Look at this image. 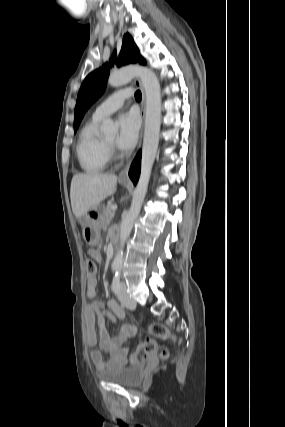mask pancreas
Listing matches in <instances>:
<instances>
[{
    "label": "pancreas",
    "instance_id": "pancreas-1",
    "mask_svg": "<svg viewBox=\"0 0 285 427\" xmlns=\"http://www.w3.org/2000/svg\"><path fill=\"white\" fill-rule=\"evenodd\" d=\"M112 206H113V204H111V203L107 204V207L105 208V210L103 212V216L101 219V227L103 229H105L109 225L111 219L114 217L115 213L112 210Z\"/></svg>",
    "mask_w": 285,
    "mask_h": 427
}]
</instances>
